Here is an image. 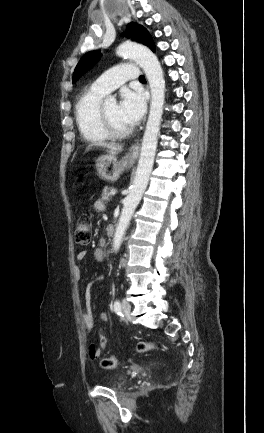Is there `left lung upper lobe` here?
Returning a JSON list of instances; mask_svg holds the SVG:
<instances>
[{
    "mask_svg": "<svg viewBox=\"0 0 264 433\" xmlns=\"http://www.w3.org/2000/svg\"><path fill=\"white\" fill-rule=\"evenodd\" d=\"M132 34V39L134 41L142 43L148 46L152 51H155V45L152 37L145 27L134 22L128 24L127 35L128 37H130ZM99 57L100 53L98 51H92L87 53L83 58H81L73 74V83H75L84 73L90 70L92 66L96 64Z\"/></svg>",
    "mask_w": 264,
    "mask_h": 433,
    "instance_id": "left-lung-upper-lobe-1",
    "label": "left lung upper lobe"
}]
</instances>
